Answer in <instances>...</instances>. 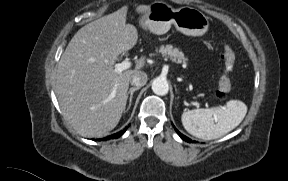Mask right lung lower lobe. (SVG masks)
<instances>
[{"instance_id": "1", "label": "right lung lower lobe", "mask_w": 288, "mask_h": 181, "mask_svg": "<svg viewBox=\"0 0 288 181\" xmlns=\"http://www.w3.org/2000/svg\"><path fill=\"white\" fill-rule=\"evenodd\" d=\"M127 130V127H125L123 130L111 135V136H107L105 138H102V140H109V139H116V138H119L121 135H123ZM101 140V139H99Z\"/></svg>"}]
</instances>
